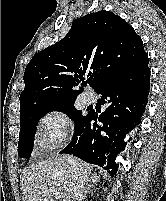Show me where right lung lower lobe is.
Returning <instances> with one entry per match:
<instances>
[{
	"mask_svg": "<svg viewBox=\"0 0 166 201\" xmlns=\"http://www.w3.org/2000/svg\"><path fill=\"white\" fill-rule=\"evenodd\" d=\"M149 75L146 54L137 64L102 83L95 92L102 95L106 110L99 117L90 111L61 153L97 164L113 176L118 170L116 156L125 149L124 138L140 123L148 103Z\"/></svg>",
	"mask_w": 166,
	"mask_h": 201,
	"instance_id": "obj_1",
	"label": "right lung lower lobe"
}]
</instances>
